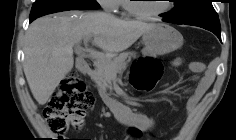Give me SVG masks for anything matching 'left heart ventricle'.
Returning a JSON list of instances; mask_svg holds the SVG:
<instances>
[{"label": "left heart ventricle", "instance_id": "b2bd125f", "mask_svg": "<svg viewBox=\"0 0 236 140\" xmlns=\"http://www.w3.org/2000/svg\"><path fill=\"white\" fill-rule=\"evenodd\" d=\"M136 7L145 13L157 12L167 6V2L161 0H142L135 3Z\"/></svg>", "mask_w": 236, "mask_h": 140}]
</instances>
